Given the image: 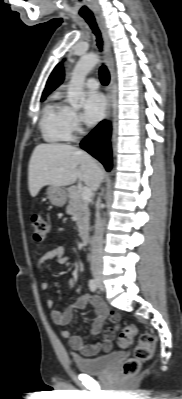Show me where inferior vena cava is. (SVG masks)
<instances>
[{
  "instance_id": "602c4592",
  "label": "inferior vena cava",
  "mask_w": 182,
  "mask_h": 399,
  "mask_svg": "<svg viewBox=\"0 0 182 399\" xmlns=\"http://www.w3.org/2000/svg\"><path fill=\"white\" fill-rule=\"evenodd\" d=\"M100 199L97 201L95 214V231L92 239V255H91V271L92 273L100 272L102 269V253H103V221L100 215Z\"/></svg>"
}]
</instances>
